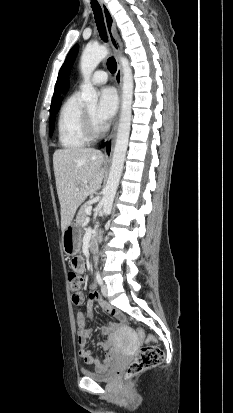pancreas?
<instances>
[{
	"mask_svg": "<svg viewBox=\"0 0 233 413\" xmlns=\"http://www.w3.org/2000/svg\"><path fill=\"white\" fill-rule=\"evenodd\" d=\"M89 206H90L89 204H84V205L80 208V210H79V212H78V214H77V216H76V223H77L79 226H84V225H85L86 219H87L86 208H88Z\"/></svg>",
	"mask_w": 233,
	"mask_h": 413,
	"instance_id": "1",
	"label": "pancreas"
}]
</instances>
